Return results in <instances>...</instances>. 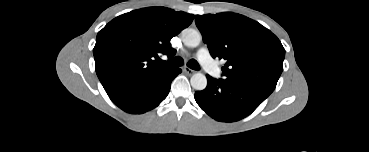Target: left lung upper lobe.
<instances>
[{"label":"left lung upper lobe","mask_w":369,"mask_h":152,"mask_svg":"<svg viewBox=\"0 0 369 152\" xmlns=\"http://www.w3.org/2000/svg\"><path fill=\"white\" fill-rule=\"evenodd\" d=\"M195 23L212 57L225 61L221 80L269 94L274 91L285 49L270 30L231 12L197 15Z\"/></svg>","instance_id":"obj_1"}]
</instances>
